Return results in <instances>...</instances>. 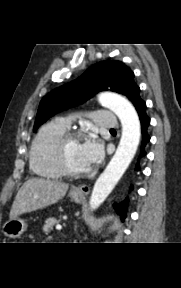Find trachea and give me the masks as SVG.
I'll list each match as a JSON object with an SVG mask.
<instances>
[{"label": "trachea", "instance_id": "1", "mask_svg": "<svg viewBox=\"0 0 181 288\" xmlns=\"http://www.w3.org/2000/svg\"><path fill=\"white\" fill-rule=\"evenodd\" d=\"M110 131H115V129H110Z\"/></svg>", "mask_w": 181, "mask_h": 288}]
</instances>
